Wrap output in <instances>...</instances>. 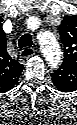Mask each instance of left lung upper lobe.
<instances>
[{
    "mask_svg": "<svg viewBox=\"0 0 77 125\" xmlns=\"http://www.w3.org/2000/svg\"><path fill=\"white\" fill-rule=\"evenodd\" d=\"M60 37L64 45V61L60 69L52 74L53 84L63 91L69 90L68 82L71 67L77 61V17L65 16L60 25Z\"/></svg>",
    "mask_w": 77,
    "mask_h": 125,
    "instance_id": "1",
    "label": "left lung upper lobe"
}]
</instances>
